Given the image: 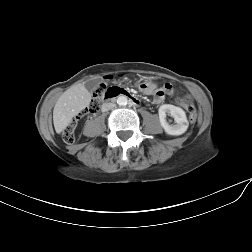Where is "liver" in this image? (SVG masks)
Returning <instances> with one entry per match:
<instances>
[{"mask_svg":"<svg viewBox=\"0 0 252 252\" xmlns=\"http://www.w3.org/2000/svg\"><path fill=\"white\" fill-rule=\"evenodd\" d=\"M91 102V94L83 84L71 86L57 100L53 110V123L57 133L70 124L73 117Z\"/></svg>","mask_w":252,"mask_h":252,"instance_id":"1","label":"liver"}]
</instances>
